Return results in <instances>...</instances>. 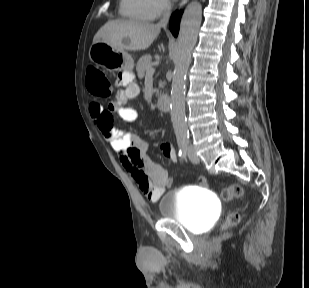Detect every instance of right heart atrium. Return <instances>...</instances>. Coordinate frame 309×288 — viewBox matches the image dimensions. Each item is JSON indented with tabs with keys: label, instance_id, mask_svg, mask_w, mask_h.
Here are the masks:
<instances>
[{
	"label": "right heart atrium",
	"instance_id": "1",
	"mask_svg": "<svg viewBox=\"0 0 309 288\" xmlns=\"http://www.w3.org/2000/svg\"><path fill=\"white\" fill-rule=\"evenodd\" d=\"M154 17L165 14L170 8V0H148Z\"/></svg>",
	"mask_w": 309,
	"mask_h": 288
}]
</instances>
